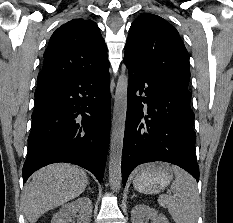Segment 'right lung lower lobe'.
<instances>
[{
	"mask_svg": "<svg viewBox=\"0 0 233 223\" xmlns=\"http://www.w3.org/2000/svg\"><path fill=\"white\" fill-rule=\"evenodd\" d=\"M108 68L37 86L24 182L55 162L79 165L102 182L111 122Z\"/></svg>",
	"mask_w": 233,
	"mask_h": 223,
	"instance_id": "right-lung-lower-lobe-1",
	"label": "right lung lower lobe"
}]
</instances>
